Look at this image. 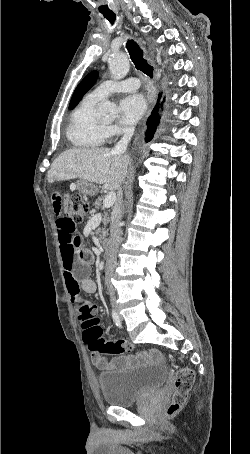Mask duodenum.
Listing matches in <instances>:
<instances>
[{"label":"duodenum","mask_w":250,"mask_h":454,"mask_svg":"<svg viewBox=\"0 0 250 454\" xmlns=\"http://www.w3.org/2000/svg\"><path fill=\"white\" fill-rule=\"evenodd\" d=\"M102 247H103L104 255H105V257H107L111 250V241L108 238L104 239L102 241Z\"/></svg>","instance_id":"duodenum-1"}]
</instances>
